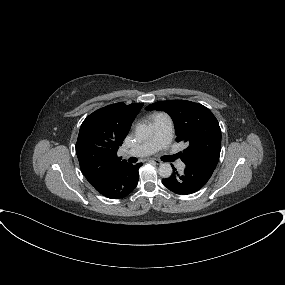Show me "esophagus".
I'll use <instances>...</instances> for the list:
<instances>
[{"instance_id":"esophagus-1","label":"esophagus","mask_w":285,"mask_h":285,"mask_svg":"<svg viewBox=\"0 0 285 285\" xmlns=\"http://www.w3.org/2000/svg\"><path fill=\"white\" fill-rule=\"evenodd\" d=\"M151 161L154 162V163L157 164V165L162 164V162H161L160 160H151Z\"/></svg>"}]
</instances>
